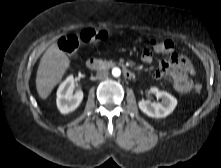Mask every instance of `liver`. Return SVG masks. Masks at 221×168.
Returning <instances> with one entry per match:
<instances>
[{
  "instance_id": "6515ba94",
  "label": "liver",
  "mask_w": 221,
  "mask_h": 168,
  "mask_svg": "<svg viewBox=\"0 0 221 168\" xmlns=\"http://www.w3.org/2000/svg\"><path fill=\"white\" fill-rule=\"evenodd\" d=\"M70 66V59L56 44L43 54L36 75V89L41 99H46L61 81Z\"/></svg>"
}]
</instances>
